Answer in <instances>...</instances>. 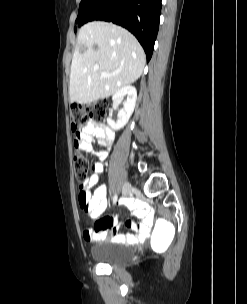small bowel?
<instances>
[{"label":"small bowel","instance_id":"c3829d8e","mask_svg":"<svg viewBox=\"0 0 247 304\" xmlns=\"http://www.w3.org/2000/svg\"><path fill=\"white\" fill-rule=\"evenodd\" d=\"M78 141L79 148L86 152L94 154L98 161L92 167V174L85 180L83 185V198L79 193V204L89 219H98L108 208L109 199L107 196V188L104 184H100L101 174L104 170L103 162L109 155V148L113 142L112 131L95 122H90L85 126L75 141ZM107 149L95 151L93 143ZM134 215L141 218V222L128 221L126 226L133 230L134 234H120L119 222L117 218H104L99 220L93 229L85 230L83 237L88 242H97L105 239H112L114 242L141 243L148 239L150 228L153 223V215L151 210L144 204L137 202L133 206Z\"/></svg>","mask_w":247,"mask_h":304}]
</instances>
